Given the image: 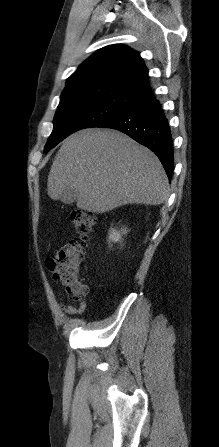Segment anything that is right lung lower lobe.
I'll use <instances>...</instances> for the list:
<instances>
[{"label":"right lung lower lobe","instance_id":"obj_1","mask_svg":"<svg viewBox=\"0 0 219 447\" xmlns=\"http://www.w3.org/2000/svg\"><path fill=\"white\" fill-rule=\"evenodd\" d=\"M97 127L121 131L148 147L157 155L168 178H171L174 159L170 126L158 100L148 99Z\"/></svg>","mask_w":219,"mask_h":447}]
</instances>
